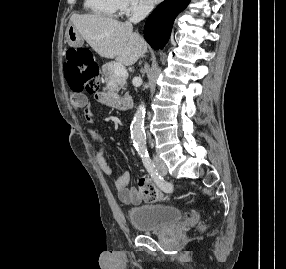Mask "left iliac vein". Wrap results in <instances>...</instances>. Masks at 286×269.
Returning <instances> with one entry per match:
<instances>
[{
  "instance_id": "4c4485c4",
  "label": "left iliac vein",
  "mask_w": 286,
  "mask_h": 269,
  "mask_svg": "<svg viewBox=\"0 0 286 269\" xmlns=\"http://www.w3.org/2000/svg\"><path fill=\"white\" fill-rule=\"evenodd\" d=\"M160 173H161L162 175H165V174L167 173L166 168H165V167H161V168H160Z\"/></svg>"
}]
</instances>
